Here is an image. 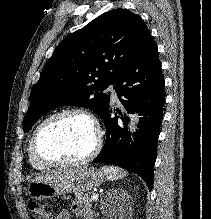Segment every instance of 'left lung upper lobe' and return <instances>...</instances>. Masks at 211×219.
<instances>
[{
  "label": "left lung upper lobe",
  "mask_w": 211,
  "mask_h": 219,
  "mask_svg": "<svg viewBox=\"0 0 211 219\" xmlns=\"http://www.w3.org/2000/svg\"><path fill=\"white\" fill-rule=\"evenodd\" d=\"M150 36L144 21L126 9L95 18L55 49L31 92L24 130L59 106L87 107L100 117L109 107L102 91L141 51Z\"/></svg>",
  "instance_id": "1"
}]
</instances>
